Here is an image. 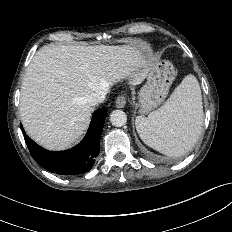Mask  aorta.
<instances>
[{
    "mask_svg": "<svg viewBox=\"0 0 232 232\" xmlns=\"http://www.w3.org/2000/svg\"><path fill=\"white\" fill-rule=\"evenodd\" d=\"M110 122L116 127H121L127 122V115L122 110H114L110 114Z\"/></svg>",
    "mask_w": 232,
    "mask_h": 232,
    "instance_id": "obj_1",
    "label": "aorta"
}]
</instances>
